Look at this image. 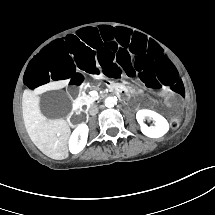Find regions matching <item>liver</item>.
I'll return each instance as SVG.
<instances>
[{
	"label": "liver",
	"instance_id": "liver-1",
	"mask_svg": "<svg viewBox=\"0 0 215 215\" xmlns=\"http://www.w3.org/2000/svg\"><path fill=\"white\" fill-rule=\"evenodd\" d=\"M69 80L50 82L42 92L58 90L68 85ZM31 91L23 94V120L26 131L36 147L50 158L61 160L68 157L70 127L64 119H48L39 108V103L31 98Z\"/></svg>",
	"mask_w": 215,
	"mask_h": 215
}]
</instances>
